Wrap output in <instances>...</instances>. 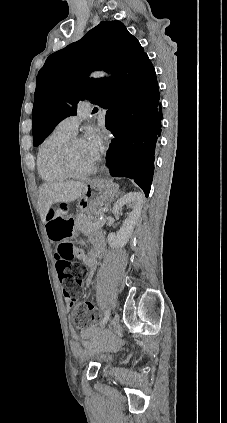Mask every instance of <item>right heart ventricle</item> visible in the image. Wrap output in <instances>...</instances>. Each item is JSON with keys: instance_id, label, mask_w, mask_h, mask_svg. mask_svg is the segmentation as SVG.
<instances>
[{"instance_id": "1", "label": "right heart ventricle", "mask_w": 227, "mask_h": 423, "mask_svg": "<svg viewBox=\"0 0 227 423\" xmlns=\"http://www.w3.org/2000/svg\"><path fill=\"white\" fill-rule=\"evenodd\" d=\"M73 136L58 126L40 143L37 152V171L45 182H58L66 178L58 165L57 151Z\"/></svg>"}]
</instances>
